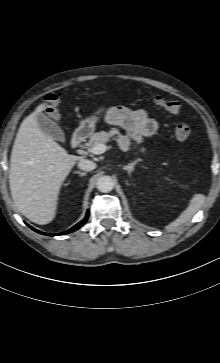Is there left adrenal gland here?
Wrapping results in <instances>:
<instances>
[{"mask_svg":"<svg viewBox=\"0 0 220 363\" xmlns=\"http://www.w3.org/2000/svg\"><path fill=\"white\" fill-rule=\"evenodd\" d=\"M138 163V160H134L133 162L129 163L128 165L123 166L124 170L128 171V174L134 170L135 165Z\"/></svg>","mask_w":220,"mask_h":363,"instance_id":"a2214340","label":"left adrenal gland"}]
</instances>
